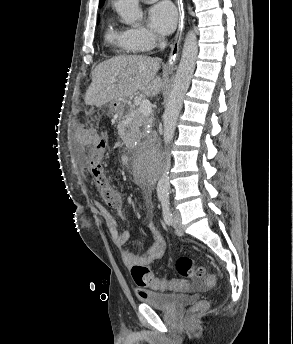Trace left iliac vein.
Listing matches in <instances>:
<instances>
[{
  "mask_svg": "<svg viewBox=\"0 0 293 344\" xmlns=\"http://www.w3.org/2000/svg\"><path fill=\"white\" fill-rule=\"evenodd\" d=\"M172 224L175 230V234L177 236H182L184 234V230L182 227V218H181V214L177 210L173 211Z\"/></svg>",
  "mask_w": 293,
  "mask_h": 344,
  "instance_id": "left-iliac-vein-1",
  "label": "left iliac vein"
}]
</instances>
